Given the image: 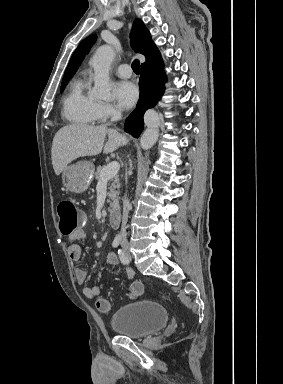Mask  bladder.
Instances as JSON below:
<instances>
[{"label":"bladder","instance_id":"1","mask_svg":"<svg viewBox=\"0 0 283 384\" xmlns=\"http://www.w3.org/2000/svg\"><path fill=\"white\" fill-rule=\"evenodd\" d=\"M168 320L164 304L142 299L114 311L111 327L116 335L141 339L161 330Z\"/></svg>","mask_w":283,"mask_h":384}]
</instances>
